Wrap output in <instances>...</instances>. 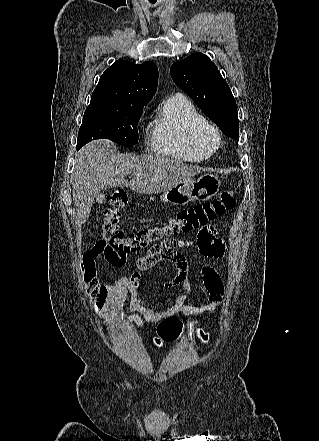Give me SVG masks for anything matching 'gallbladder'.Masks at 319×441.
Wrapping results in <instances>:
<instances>
[{"mask_svg": "<svg viewBox=\"0 0 319 441\" xmlns=\"http://www.w3.org/2000/svg\"><path fill=\"white\" fill-rule=\"evenodd\" d=\"M104 199H105V194H104V193H100V194H98V196L96 197V201H97L98 203H102V202L104 201Z\"/></svg>", "mask_w": 319, "mask_h": 441, "instance_id": "bac80fb5", "label": "gallbladder"}]
</instances>
